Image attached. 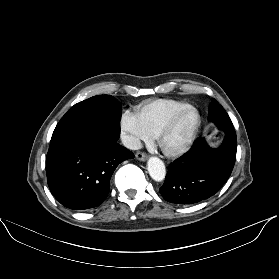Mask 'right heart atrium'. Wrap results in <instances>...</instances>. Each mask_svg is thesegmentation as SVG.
<instances>
[{"mask_svg": "<svg viewBox=\"0 0 279 279\" xmlns=\"http://www.w3.org/2000/svg\"><path fill=\"white\" fill-rule=\"evenodd\" d=\"M119 127L124 143L132 149L151 139L136 113L125 111L120 118Z\"/></svg>", "mask_w": 279, "mask_h": 279, "instance_id": "obj_1", "label": "right heart atrium"}]
</instances>
